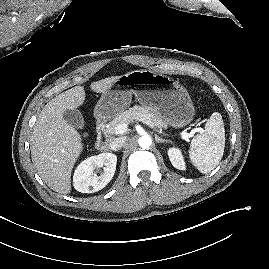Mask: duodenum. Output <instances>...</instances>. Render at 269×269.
Wrapping results in <instances>:
<instances>
[{"label": "duodenum", "mask_w": 269, "mask_h": 269, "mask_svg": "<svg viewBox=\"0 0 269 269\" xmlns=\"http://www.w3.org/2000/svg\"><path fill=\"white\" fill-rule=\"evenodd\" d=\"M97 137L95 146L98 150H104L109 143V134L107 129V123L105 120H99L96 127Z\"/></svg>", "instance_id": "1"}]
</instances>
